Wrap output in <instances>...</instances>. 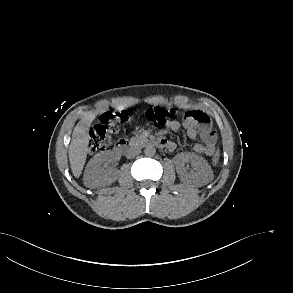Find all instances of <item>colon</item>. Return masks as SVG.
<instances>
[{"instance_id":"1","label":"colon","mask_w":293,"mask_h":293,"mask_svg":"<svg viewBox=\"0 0 293 293\" xmlns=\"http://www.w3.org/2000/svg\"><path fill=\"white\" fill-rule=\"evenodd\" d=\"M175 114L173 108L151 107L144 110L141 114L143 121L155 127L165 125ZM126 120V114L121 111H110L102 114L99 121L91 128L88 143L89 152L97 154L103 151L111 142L110 134L119 130L120 126ZM186 122H201V117L194 111L185 114ZM220 159V152L217 150L212 159L213 165H216Z\"/></svg>"}]
</instances>
